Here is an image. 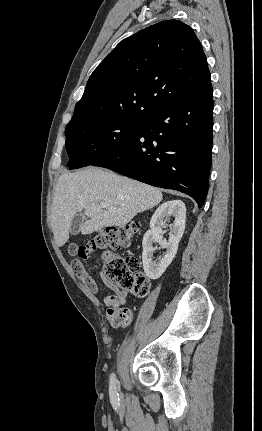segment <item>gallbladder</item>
<instances>
[{
	"label": "gallbladder",
	"mask_w": 262,
	"mask_h": 431,
	"mask_svg": "<svg viewBox=\"0 0 262 431\" xmlns=\"http://www.w3.org/2000/svg\"><path fill=\"white\" fill-rule=\"evenodd\" d=\"M84 219H85V215L83 213H78L74 216L69 229V232L71 235L76 236L79 234L80 228L84 222Z\"/></svg>",
	"instance_id": "1"
}]
</instances>
